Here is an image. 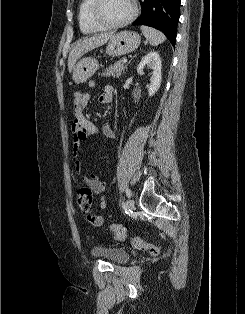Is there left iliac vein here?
<instances>
[{"label":"left iliac vein","instance_id":"left-iliac-vein-1","mask_svg":"<svg viewBox=\"0 0 245 314\" xmlns=\"http://www.w3.org/2000/svg\"><path fill=\"white\" fill-rule=\"evenodd\" d=\"M127 207L129 210H133L134 209V200L133 199H129L127 202Z\"/></svg>","mask_w":245,"mask_h":314}]
</instances>
